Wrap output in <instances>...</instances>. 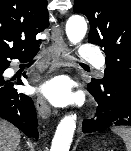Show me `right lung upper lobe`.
<instances>
[{"label":"right lung upper lobe","mask_w":131,"mask_h":151,"mask_svg":"<svg viewBox=\"0 0 131 151\" xmlns=\"http://www.w3.org/2000/svg\"><path fill=\"white\" fill-rule=\"evenodd\" d=\"M49 26L46 0H0V58L39 49Z\"/></svg>","instance_id":"cb5924a9"}]
</instances>
